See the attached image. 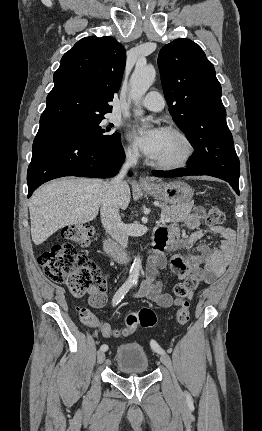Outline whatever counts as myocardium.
<instances>
[{
  "instance_id": "myocardium-1",
  "label": "myocardium",
  "mask_w": 262,
  "mask_h": 431,
  "mask_svg": "<svg viewBox=\"0 0 262 431\" xmlns=\"http://www.w3.org/2000/svg\"><path fill=\"white\" fill-rule=\"evenodd\" d=\"M165 132L175 136L182 144L183 150L178 158L173 161H153L154 167L162 170H175L186 167L193 158L195 149L189 136L181 129L168 126Z\"/></svg>"
}]
</instances>
